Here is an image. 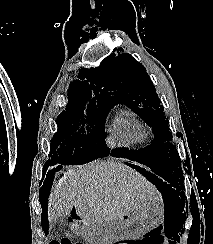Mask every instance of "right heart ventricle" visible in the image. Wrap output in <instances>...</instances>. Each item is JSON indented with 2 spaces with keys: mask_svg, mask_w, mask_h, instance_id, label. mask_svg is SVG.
Returning <instances> with one entry per match:
<instances>
[{
  "mask_svg": "<svg viewBox=\"0 0 213 244\" xmlns=\"http://www.w3.org/2000/svg\"><path fill=\"white\" fill-rule=\"evenodd\" d=\"M107 139L117 147L143 146L149 138V130L132 109L119 108L106 126Z\"/></svg>",
  "mask_w": 213,
  "mask_h": 244,
  "instance_id": "right-heart-ventricle-1",
  "label": "right heart ventricle"
}]
</instances>
